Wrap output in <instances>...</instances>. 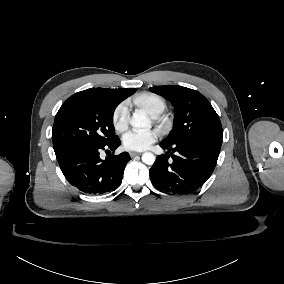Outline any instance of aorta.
Here are the masks:
<instances>
[{
    "mask_svg": "<svg viewBox=\"0 0 284 284\" xmlns=\"http://www.w3.org/2000/svg\"><path fill=\"white\" fill-rule=\"evenodd\" d=\"M130 124L133 127L148 128L151 123L146 114L142 111L135 112L131 117ZM155 156L151 152H145L142 155V161L147 165H153L155 162Z\"/></svg>",
    "mask_w": 284,
    "mask_h": 284,
    "instance_id": "obj_1",
    "label": "aorta"
}]
</instances>
